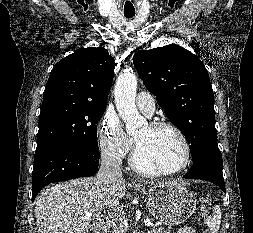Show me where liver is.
I'll use <instances>...</instances> for the list:
<instances>
[{"label":"liver","instance_id":"6515ba94","mask_svg":"<svg viewBox=\"0 0 253 233\" xmlns=\"http://www.w3.org/2000/svg\"><path fill=\"white\" fill-rule=\"evenodd\" d=\"M168 183L183 182L174 181ZM163 185L164 182L153 183ZM124 180L107 189L97 178H78L43 189L35 200V218L38 233H89L94 227L91 220L99 218L104 207L124 196ZM95 210L91 216L87 213Z\"/></svg>","mask_w":253,"mask_h":233}]
</instances>
